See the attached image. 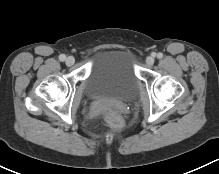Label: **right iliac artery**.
Listing matches in <instances>:
<instances>
[{
	"instance_id": "obj_1",
	"label": "right iliac artery",
	"mask_w": 219,
	"mask_h": 174,
	"mask_svg": "<svg viewBox=\"0 0 219 174\" xmlns=\"http://www.w3.org/2000/svg\"><path fill=\"white\" fill-rule=\"evenodd\" d=\"M60 61H64L66 59V56L64 54H61L59 56Z\"/></svg>"
}]
</instances>
